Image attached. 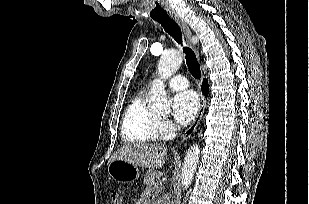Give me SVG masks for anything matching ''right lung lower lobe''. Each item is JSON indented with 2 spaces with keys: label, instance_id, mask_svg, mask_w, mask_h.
<instances>
[{
  "label": "right lung lower lobe",
  "instance_id": "right-lung-lower-lobe-1",
  "mask_svg": "<svg viewBox=\"0 0 309 204\" xmlns=\"http://www.w3.org/2000/svg\"><path fill=\"white\" fill-rule=\"evenodd\" d=\"M208 82L207 81H205L204 83H203V85H202V92H203V94H205V96H207L208 95Z\"/></svg>",
  "mask_w": 309,
  "mask_h": 204
}]
</instances>
